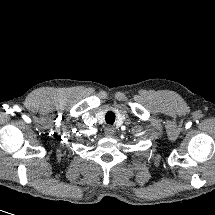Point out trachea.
Instances as JSON below:
<instances>
[{
	"mask_svg": "<svg viewBox=\"0 0 215 215\" xmlns=\"http://www.w3.org/2000/svg\"><path fill=\"white\" fill-rule=\"evenodd\" d=\"M105 120L107 124H113L115 121V114L112 111L107 112L105 115Z\"/></svg>",
	"mask_w": 215,
	"mask_h": 215,
	"instance_id": "1",
	"label": "trachea"
}]
</instances>
